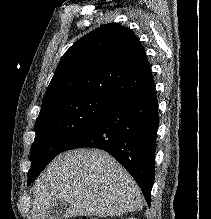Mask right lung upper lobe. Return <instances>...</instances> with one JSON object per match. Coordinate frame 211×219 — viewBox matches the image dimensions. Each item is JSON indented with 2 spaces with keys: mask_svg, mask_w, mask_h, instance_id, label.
<instances>
[{
  "mask_svg": "<svg viewBox=\"0 0 211 219\" xmlns=\"http://www.w3.org/2000/svg\"><path fill=\"white\" fill-rule=\"evenodd\" d=\"M153 81L144 47L127 27L102 25L61 58L43 98L49 106L74 98L100 97L117 103Z\"/></svg>",
  "mask_w": 211,
  "mask_h": 219,
  "instance_id": "cb5924a9",
  "label": "right lung upper lobe"
}]
</instances>
